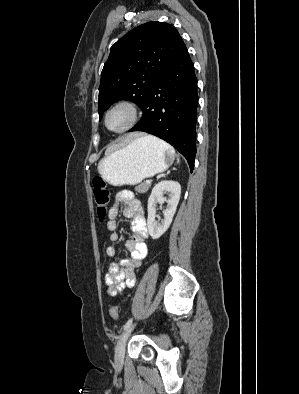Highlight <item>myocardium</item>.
<instances>
[{
    "label": "myocardium",
    "instance_id": "1",
    "mask_svg": "<svg viewBox=\"0 0 299 394\" xmlns=\"http://www.w3.org/2000/svg\"><path fill=\"white\" fill-rule=\"evenodd\" d=\"M119 108H124L128 111L129 120L123 127L119 128V129H111L108 126V122H107L108 117L113 111H115ZM139 119H140V109H139L138 105L131 100L123 99V100H119V101L115 102L113 105H111L107 109V111L105 112V115H104V125H105L106 129L109 130L110 132L124 133V132L130 130L131 128H133L138 123Z\"/></svg>",
    "mask_w": 299,
    "mask_h": 394
}]
</instances>
